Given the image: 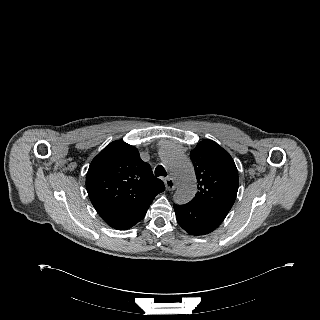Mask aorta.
Instances as JSON below:
<instances>
[{"label":"aorta","mask_w":320,"mask_h":320,"mask_svg":"<svg viewBox=\"0 0 320 320\" xmlns=\"http://www.w3.org/2000/svg\"><path fill=\"white\" fill-rule=\"evenodd\" d=\"M162 160L178 183V188L173 196L177 204H185L191 201L196 193V177L191 161L173 149L166 150Z\"/></svg>","instance_id":"aorta-1"}]
</instances>
